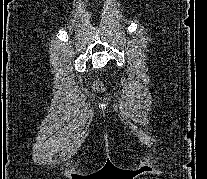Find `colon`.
<instances>
[{
  "instance_id": "obj_1",
  "label": "colon",
  "mask_w": 207,
  "mask_h": 179,
  "mask_svg": "<svg viewBox=\"0 0 207 179\" xmlns=\"http://www.w3.org/2000/svg\"><path fill=\"white\" fill-rule=\"evenodd\" d=\"M93 88L97 91H101L103 90V84L99 81H96L94 84H93Z\"/></svg>"
}]
</instances>
